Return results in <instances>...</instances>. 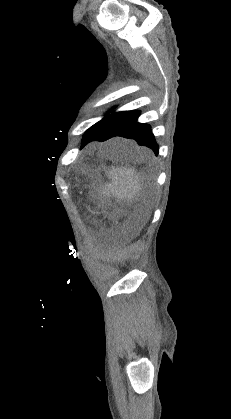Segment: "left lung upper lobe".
<instances>
[{
	"instance_id": "obj_1",
	"label": "left lung upper lobe",
	"mask_w": 231,
	"mask_h": 419,
	"mask_svg": "<svg viewBox=\"0 0 231 419\" xmlns=\"http://www.w3.org/2000/svg\"><path fill=\"white\" fill-rule=\"evenodd\" d=\"M99 122H97L96 124H94L92 127H90L86 132H85V134L83 135V139L85 138V136L91 131V129L94 127V126H96L97 124H98Z\"/></svg>"
}]
</instances>
